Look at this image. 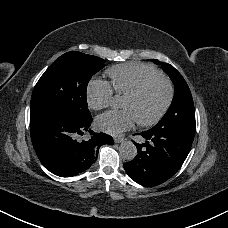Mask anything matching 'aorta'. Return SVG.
Wrapping results in <instances>:
<instances>
[{
  "label": "aorta",
  "instance_id": "aorta-1",
  "mask_svg": "<svg viewBox=\"0 0 228 228\" xmlns=\"http://www.w3.org/2000/svg\"><path fill=\"white\" fill-rule=\"evenodd\" d=\"M112 106L113 107H117L118 106V100L117 99H114L112 101ZM119 153H120V156L123 159H125L127 161H131L137 155V148L133 144V142H131V141H124V142L121 143V145L119 147Z\"/></svg>",
  "mask_w": 228,
  "mask_h": 228
}]
</instances>
